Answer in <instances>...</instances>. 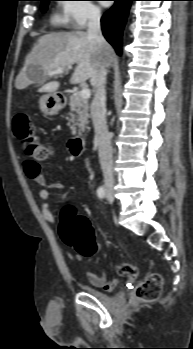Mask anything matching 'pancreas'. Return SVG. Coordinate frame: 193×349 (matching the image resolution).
Instances as JSON below:
<instances>
[{
	"label": "pancreas",
	"instance_id": "obj_1",
	"mask_svg": "<svg viewBox=\"0 0 193 349\" xmlns=\"http://www.w3.org/2000/svg\"><path fill=\"white\" fill-rule=\"evenodd\" d=\"M69 117L70 121L74 123L71 128L72 134H81L85 128L88 129L89 124V105L88 101L80 96V93H73L69 98ZM78 126V130H76Z\"/></svg>",
	"mask_w": 193,
	"mask_h": 349
}]
</instances>
